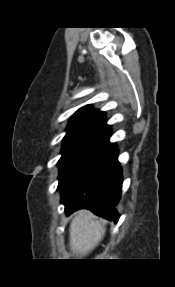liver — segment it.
I'll use <instances>...</instances> for the list:
<instances>
[{
	"mask_svg": "<svg viewBox=\"0 0 175 287\" xmlns=\"http://www.w3.org/2000/svg\"><path fill=\"white\" fill-rule=\"evenodd\" d=\"M105 231L101 221L91 212H77L69 228V247L72 254L77 257L89 254L103 239Z\"/></svg>",
	"mask_w": 175,
	"mask_h": 287,
	"instance_id": "6515ba94",
	"label": "liver"
}]
</instances>
